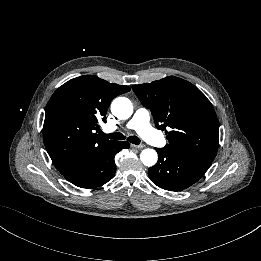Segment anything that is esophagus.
I'll use <instances>...</instances> for the list:
<instances>
[{
  "label": "esophagus",
  "mask_w": 261,
  "mask_h": 261,
  "mask_svg": "<svg viewBox=\"0 0 261 261\" xmlns=\"http://www.w3.org/2000/svg\"><path fill=\"white\" fill-rule=\"evenodd\" d=\"M132 147H135V148H138V149H142V148H144L145 147V145L144 144H139V145H132Z\"/></svg>",
  "instance_id": "obj_1"
}]
</instances>
